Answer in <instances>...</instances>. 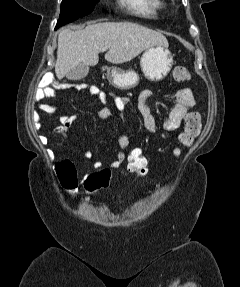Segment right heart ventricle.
I'll return each instance as SVG.
<instances>
[{
    "mask_svg": "<svg viewBox=\"0 0 240 287\" xmlns=\"http://www.w3.org/2000/svg\"><path fill=\"white\" fill-rule=\"evenodd\" d=\"M119 5L132 15L156 19L162 10L161 0H118Z\"/></svg>",
    "mask_w": 240,
    "mask_h": 287,
    "instance_id": "obj_1",
    "label": "right heart ventricle"
}]
</instances>
